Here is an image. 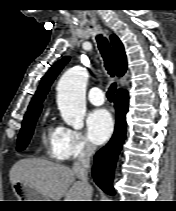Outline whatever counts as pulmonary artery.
<instances>
[{"label":"pulmonary artery","mask_w":176,"mask_h":211,"mask_svg":"<svg viewBox=\"0 0 176 211\" xmlns=\"http://www.w3.org/2000/svg\"><path fill=\"white\" fill-rule=\"evenodd\" d=\"M88 99L91 104L95 106H101L105 102L104 92L99 87H93L88 93Z\"/></svg>","instance_id":"obj_1"}]
</instances>
